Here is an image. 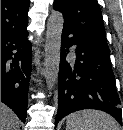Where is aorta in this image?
<instances>
[{"mask_svg": "<svg viewBox=\"0 0 123 130\" xmlns=\"http://www.w3.org/2000/svg\"><path fill=\"white\" fill-rule=\"evenodd\" d=\"M63 24L62 13L53 11L47 22L45 44L44 77L48 90H52L58 79Z\"/></svg>", "mask_w": 123, "mask_h": 130, "instance_id": "obj_1", "label": "aorta"}]
</instances>
